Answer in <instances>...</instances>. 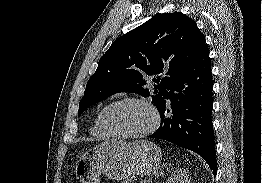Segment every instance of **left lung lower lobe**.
<instances>
[{"label":"left lung lower lobe","instance_id":"left-lung-lower-lobe-1","mask_svg":"<svg viewBox=\"0 0 262 183\" xmlns=\"http://www.w3.org/2000/svg\"><path fill=\"white\" fill-rule=\"evenodd\" d=\"M212 84L209 49L206 47L171 83L168 97L158 109L160 127L148 137L196 152L216 174Z\"/></svg>","mask_w":262,"mask_h":183}]
</instances>
